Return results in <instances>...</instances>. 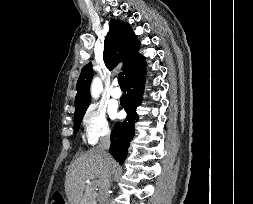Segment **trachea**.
<instances>
[{
  "instance_id": "1",
  "label": "trachea",
  "mask_w": 253,
  "mask_h": 204,
  "mask_svg": "<svg viewBox=\"0 0 253 204\" xmlns=\"http://www.w3.org/2000/svg\"><path fill=\"white\" fill-rule=\"evenodd\" d=\"M118 82H119V85H120V86H125V81H124V74H123V72H120V73H119Z\"/></svg>"
}]
</instances>
